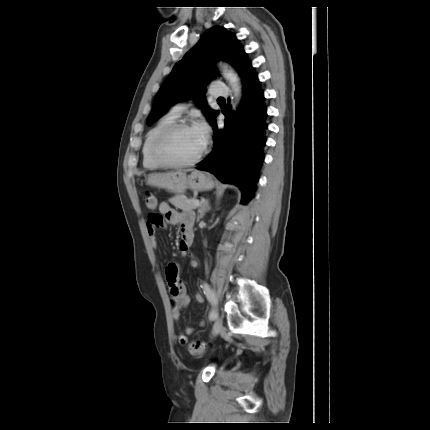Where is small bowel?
<instances>
[{
    "instance_id": "1",
    "label": "small bowel",
    "mask_w": 430,
    "mask_h": 430,
    "mask_svg": "<svg viewBox=\"0 0 430 430\" xmlns=\"http://www.w3.org/2000/svg\"><path fill=\"white\" fill-rule=\"evenodd\" d=\"M161 215H151L147 221V232L150 238V243L153 249L157 248V228L165 227L167 224L178 225L181 231V239L179 249L182 257H189V265L193 268L199 266V260L189 255V248L192 245L194 234L192 230L194 215L190 211H178L170 206L167 202H161L159 205ZM179 267L177 264L172 263L166 268V279L171 294L172 315L175 321L180 318V313L185 309L190 302L186 293L183 282L178 277ZM196 301L202 303L203 296L196 294ZM203 325V323H202ZM195 329L192 327L184 328V331L178 334V341L181 344L186 343L187 335L194 333Z\"/></svg>"
}]
</instances>
